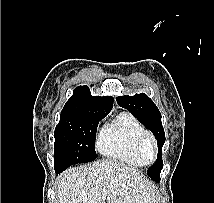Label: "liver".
Returning a JSON list of instances; mask_svg holds the SVG:
<instances>
[{"mask_svg":"<svg viewBox=\"0 0 214 203\" xmlns=\"http://www.w3.org/2000/svg\"><path fill=\"white\" fill-rule=\"evenodd\" d=\"M156 191L138 169L109 160L59 176V203H155Z\"/></svg>","mask_w":214,"mask_h":203,"instance_id":"6515ba94","label":"liver"}]
</instances>
